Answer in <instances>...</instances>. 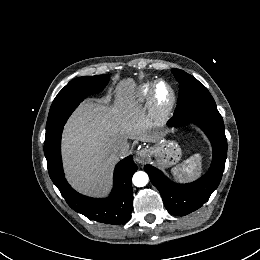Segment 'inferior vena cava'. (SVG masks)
<instances>
[{
	"instance_id": "1",
	"label": "inferior vena cava",
	"mask_w": 260,
	"mask_h": 260,
	"mask_svg": "<svg viewBox=\"0 0 260 260\" xmlns=\"http://www.w3.org/2000/svg\"><path fill=\"white\" fill-rule=\"evenodd\" d=\"M113 151L119 156H123L129 152V143L127 140L120 141L113 146Z\"/></svg>"
}]
</instances>
